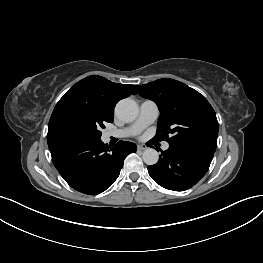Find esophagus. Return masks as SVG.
Returning <instances> with one entry per match:
<instances>
[{
	"mask_svg": "<svg viewBox=\"0 0 263 263\" xmlns=\"http://www.w3.org/2000/svg\"><path fill=\"white\" fill-rule=\"evenodd\" d=\"M138 150L143 151L147 149V146L145 144H140L137 146Z\"/></svg>",
	"mask_w": 263,
	"mask_h": 263,
	"instance_id": "34e87169",
	"label": "esophagus"
}]
</instances>
